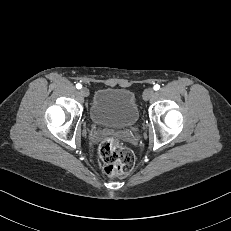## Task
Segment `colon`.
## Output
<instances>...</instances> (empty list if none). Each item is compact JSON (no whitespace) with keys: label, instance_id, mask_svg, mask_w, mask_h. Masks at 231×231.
<instances>
[{"label":"colon","instance_id":"obj_1","mask_svg":"<svg viewBox=\"0 0 231 231\" xmlns=\"http://www.w3.org/2000/svg\"><path fill=\"white\" fill-rule=\"evenodd\" d=\"M99 155L104 163L103 172L108 177L127 174L134 167L133 152L122 147L115 138L108 137L101 142Z\"/></svg>","mask_w":231,"mask_h":231}]
</instances>
